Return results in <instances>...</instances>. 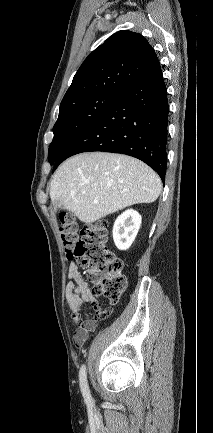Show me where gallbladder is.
Segmentation results:
<instances>
[{
	"label": "gallbladder",
	"mask_w": 213,
	"mask_h": 433,
	"mask_svg": "<svg viewBox=\"0 0 213 433\" xmlns=\"http://www.w3.org/2000/svg\"><path fill=\"white\" fill-rule=\"evenodd\" d=\"M52 204H53V206H54L55 208H59L60 205H61V203H60L59 200H52Z\"/></svg>",
	"instance_id": "bac80fb5"
}]
</instances>
